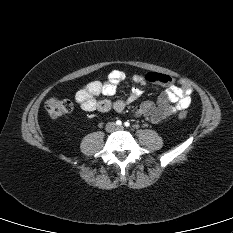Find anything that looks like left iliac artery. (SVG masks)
Masks as SVG:
<instances>
[{"label":"left iliac artery","instance_id":"44dca946","mask_svg":"<svg viewBox=\"0 0 233 233\" xmlns=\"http://www.w3.org/2000/svg\"><path fill=\"white\" fill-rule=\"evenodd\" d=\"M124 125H125L126 127H129V126H130V123L127 121V122L124 123Z\"/></svg>","mask_w":233,"mask_h":233}]
</instances>
